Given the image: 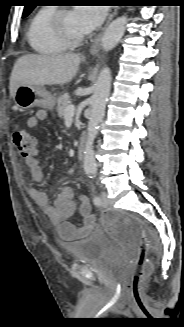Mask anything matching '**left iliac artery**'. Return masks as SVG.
<instances>
[{"mask_svg": "<svg viewBox=\"0 0 184 327\" xmlns=\"http://www.w3.org/2000/svg\"><path fill=\"white\" fill-rule=\"evenodd\" d=\"M93 202L95 205H100L101 204V198L99 196H95L93 199Z\"/></svg>", "mask_w": 184, "mask_h": 327, "instance_id": "1", "label": "left iliac artery"}]
</instances>
